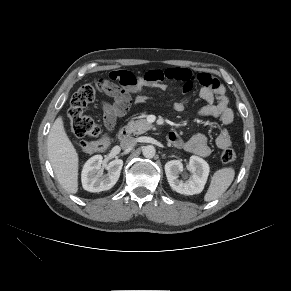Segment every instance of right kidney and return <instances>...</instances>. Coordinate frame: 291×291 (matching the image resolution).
Segmentation results:
<instances>
[{
    "label": "right kidney",
    "mask_w": 291,
    "mask_h": 291,
    "mask_svg": "<svg viewBox=\"0 0 291 291\" xmlns=\"http://www.w3.org/2000/svg\"><path fill=\"white\" fill-rule=\"evenodd\" d=\"M103 157L95 155L83 166L81 180L83 188L89 192H101L111 189L119 179L123 166L121 159H115L106 166L107 174L101 175V164Z\"/></svg>",
    "instance_id": "1"
}]
</instances>
